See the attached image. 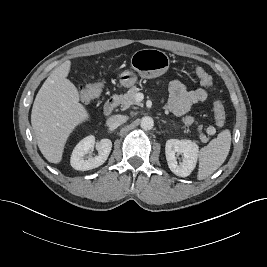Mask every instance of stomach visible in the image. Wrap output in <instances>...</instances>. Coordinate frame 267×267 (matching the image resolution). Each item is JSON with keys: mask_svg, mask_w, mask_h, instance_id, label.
Segmentation results:
<instances>
[{"mask_svg": "<svg viewBox=\"0 0 267 267\" xmlns=\"http://www.w3.org/2000/svg\"><path fill=\"white\" fill-rule=\"evenodd\" d=\"M134 71L126 70L119 75V82L124 87H131L137 81V75L151 79L163 75L170 66L168 55L157 49H141L133 53L130 59Z\"/></svg>", "mask_w": 267, "mask_h": 267, "instance_id": "1", "label": "stomach"}]
</instances>
